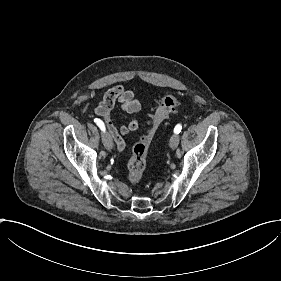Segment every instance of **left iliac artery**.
I'll list each match as a JSON object with an SVG mask.
<instances>
[{"mask_svg": "<svg viewBox=\"0 0 281 281\" xmlns=\"http://www.w3.org/2000/svg\"><path fill=\"white\" fill-rule=\"evenodd\" d=\"M182 126L180 124L176 125L174 128V133L179 134L181 132Z\"/></svg>", "mask_w": 281, "mask_h": 281, "instance_id": "left-iliac-artery-1", "label": "left iliac artery"}]
</instances>
